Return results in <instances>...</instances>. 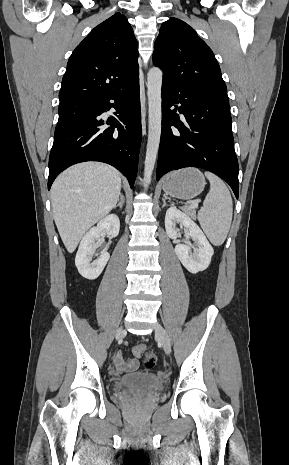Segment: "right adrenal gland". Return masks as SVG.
I'll return each instance as SVG.
<instances>
[{
  "mask_svg": "<svg viewBox=\"0 0 289 465\" xmlns=\"http://www.w3.org/2000/svg\"><path fill=\"white\" fill-rule=\"evenodd\" d=\"M125 203V199H124V196L120 195V200H119V203L114 207V209H116L117 207H119L120 209L123 208V205Z\"/></svg>",
  "mask_w": 289,
  "mask_h": 465,
  "instance_id": "2a0ac1e0",
  "label": "right adrenal gland"
}]
</instances>
